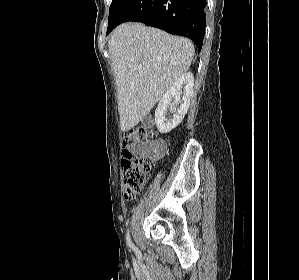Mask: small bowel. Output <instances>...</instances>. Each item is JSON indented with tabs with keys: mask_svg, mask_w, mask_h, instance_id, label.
Returning a JSON list of instances; mask_svg holds the SVG:
<instances>
[{
	"mask_svg": "<svg viewBox=\"0 0 299 280\" xmlns=\"http://www.w3.org/2000/svg\"><path fill=\"white\" fill-rule=\"evenodd\" d=\"M167 151V144L162 139H157L139 148L142 155L161 157Z\"/></svg>",
	"mask_w": 299,
	"mask_h": 280,
	"instance_id": "obj_1",
	"label": "small bowel"
}]
</instances>
